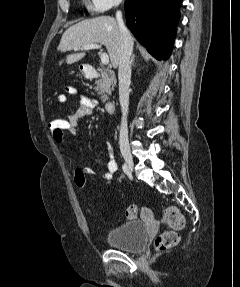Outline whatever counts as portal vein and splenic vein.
<instances>
[{
    "instance_id": "18ae733b",
    "label": "portal vein and splenic vein",
    "mask_w": 240,
    "mask_h": 287,
    "mask_svg": "<svg viewBox=\"0 0 240 287\" xmlns=\"http://www.w3.org/2000/svg\"><path fill=\"white\" fill-rule=\"evenodd\" d=\"M89 49H101V45L94 43V44L85 45L80 48H75V50H89ZM100 59L104 65H107L109 63V56L105 52L101 53Z\"/></svg>"
}]
</instances>
